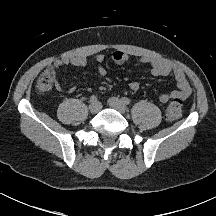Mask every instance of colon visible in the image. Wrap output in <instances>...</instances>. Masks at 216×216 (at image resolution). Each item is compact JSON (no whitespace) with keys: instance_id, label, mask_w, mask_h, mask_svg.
Instances as JSON below:
<instances>
[{"instance_id":"5ec220e1","label":"colon","mask_w":216,"mask_h":216,"mask_svg":"<svg viewBox=\"0 0 216 216\" xmlns=\"http://www.w3.org/2000/svg\"><path fill=\"white\" fill-rule=\"evenodd\" d=\"M55 82V73L46 70L38 79L36 90L44 94L52 90ZM183 111V102L180 99L172 100L166 108V117L169 120H177L181 117Z\"/></svg>"}]
</instances>
